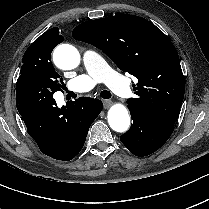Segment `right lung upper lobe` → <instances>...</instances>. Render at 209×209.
Here are the masks:
<instances>
[{
  "instance_id": "cb5924a9",
  "label": "right lung upper lobe",
  "mask_w": 209,
  "mask_h": 209,
  "mask_svg": "<svg viewBox=\"0 0 209 209\" xmlns=\"http://www.w3.org/2000/svg\"><path fill=\"white\" fill-rule=\"evenodd\" d=\"M39 38H51L56 42V45L63 41V37L59 35V29L57 27H53L52 29L43 33Z\"/></svg>"
}]
</instances>
